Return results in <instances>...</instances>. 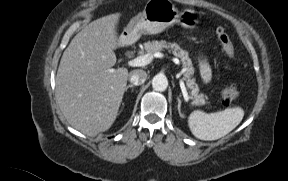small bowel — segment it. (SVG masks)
<instances>
[{"instance_id":"1","label":"small bowel","mask_w":288,"mask_h":181,"mask_svg":"<svg viewBox=\"0 0 288 181\" xmlns=\"http://www.w3.org/2000/svg\"><path fill=\"white\" fill-rule=\"evenodd\" d=\"M199 68L203 82L209 83L212 79V70L206 59L204 58L199 59Z\"/></svg>"}]
</instances>
